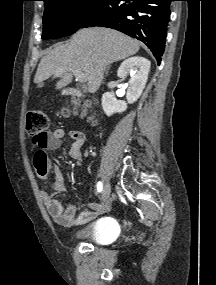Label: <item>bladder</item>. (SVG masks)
<instances>
[{"label":"bladder","instance_id":"bladder-1","mask_svg":"<svg viewBox=\"0 0 216 285\" xmlns=\"http://www.w3.org/2000/svg\"><path fill=\"white\" fill-rule=\"evenodd\" d=\"M117 235V226L109 218L100 219L94 223L76 229L72 238L77 241L104 245L111 242Z\"/></svg>","mask_w":216,"mask_h":285}]
</instances>
